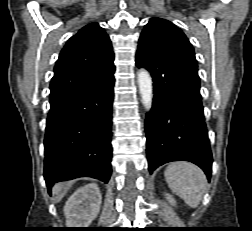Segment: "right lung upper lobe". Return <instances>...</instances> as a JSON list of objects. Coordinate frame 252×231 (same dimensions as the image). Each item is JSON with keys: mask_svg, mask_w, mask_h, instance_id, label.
<instances>
[{"mask_svg": "<svg viewBox=\"0 0 252 231\" xmlns=\"http://www.w3.org/2000/svg\"><path fill=\"white\" fill-rule=\"evenodd\" d=\"M113 61L111 41L105 30L97 23L83 27L61 50L50 84V103L114 74Z\"/></svg>", "mask_w": 252, "mask_h": 231, "instance_id": "right-lung-upper-lobe-1", "label": "right lung upper lobe"}]
</instances>
